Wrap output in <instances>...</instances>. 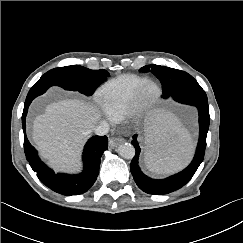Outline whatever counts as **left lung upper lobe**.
Masks as SVG:
<instances>
[{
  "instance_id": "1",
  "label": "left lung upper lobe",
  "mask_w": 243,
  "mask_h": 243,
  "mask_svg": "<svg viewBox=\"0 0 243 243\" xmlns=\"http://www.w3.org/2000/svg\"><path fill=\"white\" fill-rule=\"evenodd\" d=\"M140 70L142 72H152L160 80L164 99L200 86L191 75L181 70L154 64L144 66Z\"/></svg>"
}]
</instances>
